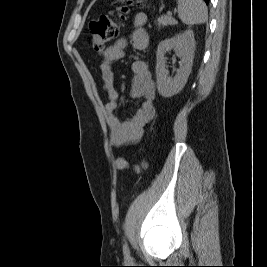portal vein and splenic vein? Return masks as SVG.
<instances>
[{"instance_id":"portal-vein-and-splenic-vein-1","label":"portal vein and splenic vein","mask_w":267,"mask_h":267,"mask_svg":"<svg viewBox=\"0 0 267 267\" xmlns=\"http://www.w3.org/2000/svg\"><path fill=\"white\" fill-rule=\"evenodd\" d=\"M167 14H168V15H172V12H171V11H168Z\"/></svg>"}]
</instances>
